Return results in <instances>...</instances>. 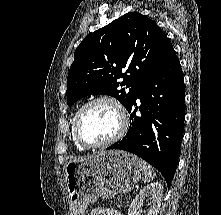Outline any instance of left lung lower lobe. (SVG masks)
<instances>
[{
  "label": "left lung lower lobe",
  "mask_w": 221,
  "mask_h": 215,
  "mask_svg": "<svg viewBox=\"0 0 221 215\" xmlns=\"http://www.w3.org/2000/svg\"><path fill=\"white\" fill-rule=\"evenodd\" d=\"M184 98L182 69L171 45L160 65L141 83L127 109L131 113L127 135L107 149H121L141 157L162 172L170 187L182 141ZM138 110L141 114L136 115Z\"/></svg>",
  "instance_id": "1"
}]
</instances>
